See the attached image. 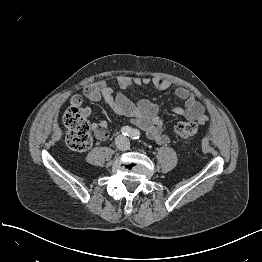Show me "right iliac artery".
<instances>
[{"label":"right iliac artery","mask_w":262,"mask_h":262,"mask_svg":"<svg viewBox=\"0 0 262 262\" xmlns=\"http://www.w3.org/2000/svg\"><path fill=\"white\" fill-rule=\"evenodd\" d=\"M121 133L124 135V136H130L131 133H132V128L129 127V126H124L121 128Z\"/></svg>","instance_id":"1"}]
</instances>
